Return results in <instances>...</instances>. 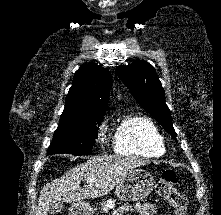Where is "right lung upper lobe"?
<instances>
[{"label": "right lung upper lobe", "instance_id": "obj_1", "mask_svg": "<svg viewBox=\"0 0 221 215\" xmlns=\"http://www.w3.org/2000/svg\"><path fill=\"white\" fill-rule=\"evenodd\" d=\"M111 74L97 64H84L75 72L62 114L103 116L107 110Z\"/></svg>", "mask_w": 221, "mask_h": 215}]
</instances>
